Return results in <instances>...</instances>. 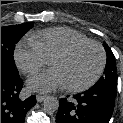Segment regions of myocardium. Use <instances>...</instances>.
Wrapping results in <instances>:
<instances>
[{"mask_svg": "<svg viewBox=\"0 0 123 123\" xmlns=\"http://www.w3.org/2000/svg\"><path fill=\"white\" fill-rule=\"evenodd\" d=\"M86 45H93L98 48V50L100 52V56H101L99 68L96 71V73L94 74V76L86 83L81 84V85H75V86L66 85L65 89L70 92L85 91V90L89 89L90 87H92L99 80V78L101 77V75L104 72V69L106 67V61H107L106 51H105L104 47L99 42H97L95 40H91V39L84 40V41H78V42L72 43L71 45H69L66 48L62 49L61 51L57 52L49 59L50 61H52L53 59L65 58V57L71 55L77 49H79L83 46H86Z\"/></svg>", "mask_w": 123, "mask_h": 123, "instance_id": "f54148a6", "label": "myocardium"}]
</instances>
